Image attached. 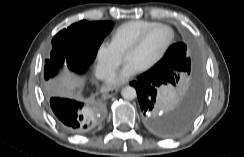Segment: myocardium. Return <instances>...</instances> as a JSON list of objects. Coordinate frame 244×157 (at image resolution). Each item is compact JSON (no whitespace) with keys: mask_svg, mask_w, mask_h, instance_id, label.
<instances>
[{"mask_svg":"<svg viewBox=\"0 0 244 157\" xmlns=\"http://www.w3.org/2000/svg\"><path fill=\"white\" fill-rule=\"evenodd\" d=\"M157 28H166L170 31V38L169 41L167 42V44L165 45V47L163 48V50L161 51V53L153 60L151 61L149 64L145 65L144 67H142L140 69V71L142 72H146L151 70L152 68H154L155 66H157L166 56V54L168 53L169 49L171 48V46L173 45L174 41H175V31L174 29L167 24H163V23H158L155 24L149 28H147L146 30H144L143 32H141L138 37L126 48V50L123 53V57L124 59H126V56L138 49L142 43L144 42V40L146 39V37L155 29Z\"/></svg>","mask_w":244,"mask_h":157,"instance_id":"f54148a6","label":"myocardium"}]
</instances>
